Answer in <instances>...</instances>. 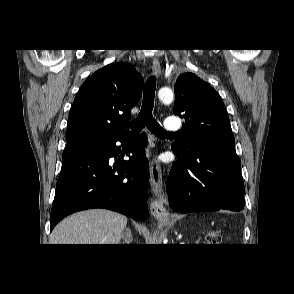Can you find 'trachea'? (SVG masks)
Returning <instances> with one entry per match:
<instances>
[{
	"label": "trachea",
	"instance_id": "1",
	"mask_svg": "<svg viewBox=\"0 0 294 294\" xmlns=\"http://www.w3.org/2000/svg\"><path fill=\"white\" fill-rule=\"evenodd\" d=\"M156 81L154 78H151L147 81L144 95L143 103L140 110V113L131 122V134L137 135L139 131L145 126L155 135L159 137H166L175 135V133L167 132L164 130L156 119L153 117L152 111L154 107V97H155Z\"/></svg>",
	"mask_w": 294,
	"mask_h": 294
}]
</instances>
